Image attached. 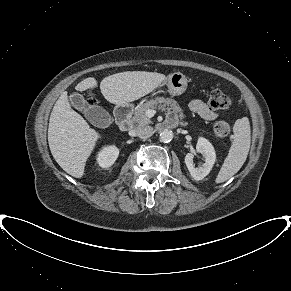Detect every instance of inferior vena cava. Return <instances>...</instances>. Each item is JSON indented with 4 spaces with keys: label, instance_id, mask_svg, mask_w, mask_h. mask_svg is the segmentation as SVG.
Returning a JSON list of instances; mask_svg holds the SVG:
<instances>
[{
    "label": "inferior vena cava",
    "instance_id": "602c4592",
    "mask_svg": "<svg viewBox=\"0 0 291 291\" xmlns=\"http://www.w3.org/2000/svg\"><path fill=\"white\" fill-rule=\"evenodd\" d=\"M136 133L139 137H150L153 135V128L151 126H142L137 128Z\"/></svg>",
    "mask_w": 291,
    "mask_h": 291
}]
</instances>
